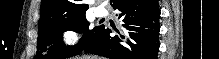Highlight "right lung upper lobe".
Segmentation results:
<instances>
[{"mask_svg":"<svg viewBox=\"0 0 219 59\" xmlns=\"http://www.w3.org/2000/svg\"><path fill=\"white\" fill-rule=\"evenodd\" d=\"M88 8L82 0H42L39 28L51 21L85 14Z\"/></svg>","mask_w":219,"mask_h":59,"instance_id":"cb5924a9","label":"right lung upper lobe"}]
</instances>
